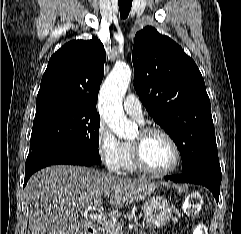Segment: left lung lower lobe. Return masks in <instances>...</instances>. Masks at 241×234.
I'll list each match as a JSON object with an SVG mask.
<instances>
[{
    "mask_svg": "<svg viewBox=\"0 0 241 234\" xmlns=\"http://www.w3.org/2000/svg\"><path fill=\"white\" fill-rule=\"evenodd\" d=\"M165 180L203 185L213 193L217 202L219 200L221 174H215L210 171L200 170L188 174L166 176Z\"/></svg>",
    "mask_w": 241,
    "mask_h": 234,
    "instance_id": "1",
    "label": "left lung lower lobe"
}]
</instances>
